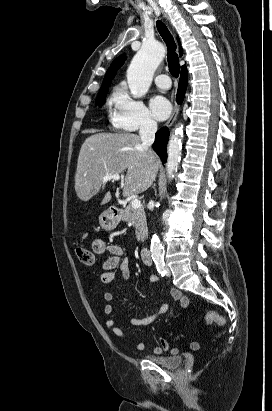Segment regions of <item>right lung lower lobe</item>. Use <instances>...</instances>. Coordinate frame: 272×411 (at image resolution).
I'll return each instance as SVG.
<instances>
[{
	"label": "right lung lower lobe",
	"instance_id": "98d812e1",
	"mask_svg": "<svg viewBox=\"0 0 272 411\" xmlns=\"http://www.w3.org/2000/svg\"><path fill=\"white\" fill-rule=\"evenodd\" d=\"M187 82H188V72H187V68H185L181 70L179 87H178V92H177V97H176L178 103H181L184 99L185 91L187 88ZM168 138H169L168 128L163 127L159 131H157L155 142L153 144L154 151L158 154V156L161 158L163 163H165L167 159L166 146H167Z\"/></svg>",
	"mask_w": 272,
	"mask_h": 411
}]
</instances>
